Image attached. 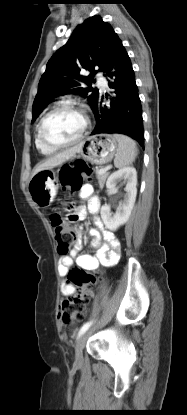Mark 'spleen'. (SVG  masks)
I'll list each match as a JSON object with an SVG mask.
<instances>
[{"mask_svg":"<svg viewBox=\"0 0 187 415\" xmlns=\"http://www.w3.org/2000/svg\"><path fill=\"white\" fill-rule=\"evenodd\" d=\"M113 136L118 142V149L114 159L115 167L123 168L130 165L137 156L136 142L125 135L114 134Z\"/></svg>","mask_w":187,"mask_h":415,"instance_id":"obj_1","label":"spleen"}]
</instances>
